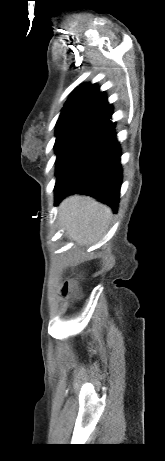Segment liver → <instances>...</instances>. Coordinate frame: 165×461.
Here are the masks:
<instances>
[{
  "instance_id": "1",
  "label": "liver",
  "mask_w": 165,
  "mask_h": 461,
  "mask_svg": "<svg viewBox=\"0 0 165 461\" xmlns=\"http://www.w3.org/2000/svg\"><path fill=\"white\" fill-rule=\"evenodd\" d=\"M111 218L108 206L88 196H69L59 206V219L67 237L80 247L99 241Z\"/></svg>"
}]
</instances>
